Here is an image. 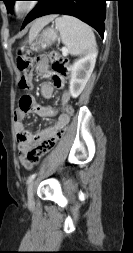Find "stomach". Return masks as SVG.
<instances>
[{"instance_id": "1", "label": "stomach", "mask_w": 133, "mask_h": 253, "mask_svg": "<svg viewBox=\"0 0 133 253\" xmlns=\"http://www.w3.org/2000/svg\"><path fill=\"white\" fill-rule=\"evenodd\" d=\"M58 40V32L53 27L44 29L40 35L29 38L30 49L33 51L44 50Z\"/></svg>"}]
</instances>
